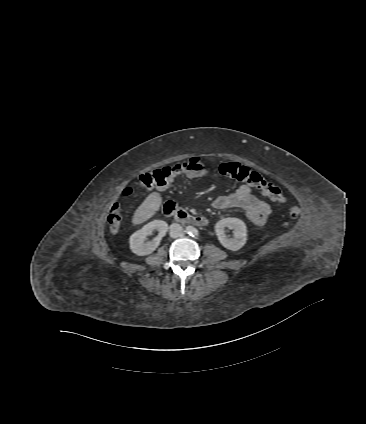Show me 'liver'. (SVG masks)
I'll list each match as a JSON object with an SVG mask.
<instances>
[{
	"label": "liver",
	"instance_id": "1",
	"mask_svg": "<svg viewBox=\"0 0 366 424\" xmlns=\"http://www.w3.org/2000/svg\"><path fill=\"white\" fill-rule=\"evenodd\" d=\"M161 203L162 197L159 193L153 192L148 195L135 211L132 223L134 225L141 224L151 218L159 210Z\"/></svg>",
	"mask_w": 366,
	"mask_h": 424
}]
</instances>
